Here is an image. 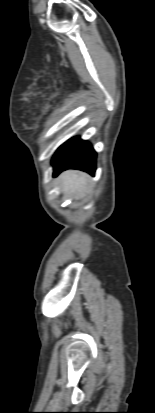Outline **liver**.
<instances>
[{
  "label": "liver",
  "instance_id": "6515ba94",
  "mask_svg": "<svg viewBox=\"0 0 155 413\" xmlns=\"http://www.w3.org/2000/svg\"><path fill=\"white\" fill-rule=\"evenodd\" d=\"M60 182L63 193L78 198L87 191L89 176L78 171L69 170L61 174Z\"/></svg>",
  "mask_w": 155,
  "mask_h": 413
}]
</instances>
